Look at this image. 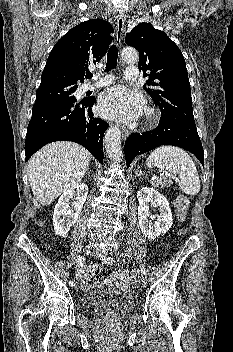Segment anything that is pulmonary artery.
<instances>
[{
	"mask_svg": "<svg viewBox=\"0 0 233 352\" xmlns=\"http://www.w3.org/2000/svg\"><path fill=\"white\" fill-rule=\"evenodd\" d=\"M138 77V69L135 66H129L125 70V78L130 81H135ZM112 82L111 77H103L95 83H88L83 86L84 91L95 89Z\"/></svg>",
	"mask_w": 233,
	"mask_h": 352,
	"instance_id": "pulmonary-artery-1",
	"label": "pulmonary artery"
}]
</instances>
